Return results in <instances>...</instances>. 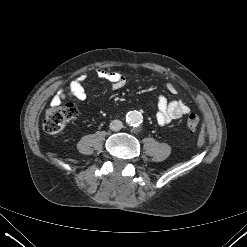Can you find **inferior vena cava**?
<instances>
[{"label":"inferior vena cava","mask_w":247,"mask_h":247,"mask_svg":"<svg viewBox=\"0 0 247 247\" xmlns=\"http://www.w3.org/2000/svg\"><path fill=\"white\" fill-rule=\"evenodd\" d=\"M109 127L112 131H119L123 127V123L120 120H113Z\"/></svg>","instance_id":"inferior-vena-cava-1"}]
</instances>
